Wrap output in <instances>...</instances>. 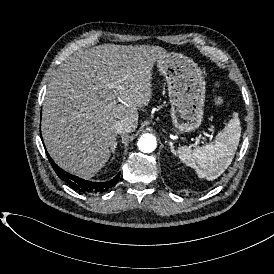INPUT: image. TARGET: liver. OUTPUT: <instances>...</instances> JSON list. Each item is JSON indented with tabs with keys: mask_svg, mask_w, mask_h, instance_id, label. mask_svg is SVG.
<instances>
[{
	"mask_svg": "<svg viewBox=\"0 0 274 274\" xmlns=\"http://www.w3.org/2000/svg\"><path fill=\"white\" fill-rule=\"evenodd\" d=\"M160 46L102 44L60 65L43 101L42 136L55 163L90 179L117 146L115 124L137 127L138 108L152 98V69ZM120 102V103H118Z\"/></svg>",
	"mask_w": 274,
	"mask_h": 274,
	"instance_id": "1",
	"label": "liver"
}]
</instances>
